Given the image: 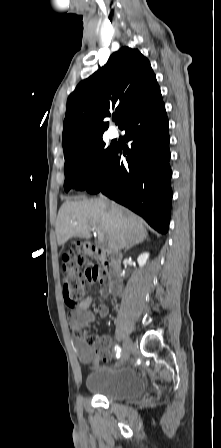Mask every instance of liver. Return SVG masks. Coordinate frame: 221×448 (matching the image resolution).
<instances>
[{
	"label": "liver",
	"mask_w": 221,
	"mask_h": 448,
	"mask_svg": "<svg viewBox=\"0 0 221 448\" xmlns=\"http://www.w3.org/2000/svg\"><path fill=\"white\" fill-rule=\"evenodd\" d=\"M97 228L104 234L111 251L139 244L147 238L143 220L130 210L100 197L83 201H66L56 220L59 246L70 238L90 239Z\"/></svg>",
	"instance_id": "liver-1"
}]
</instances>
